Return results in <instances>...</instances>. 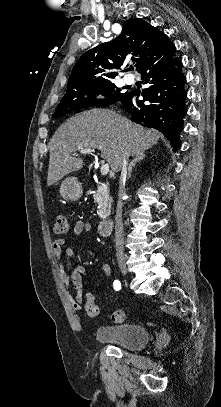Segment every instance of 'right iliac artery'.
<instances>
[{
  "label": "right iliac artery",
  "mask_w": 221,
  "mask_h": 407,
  "mask_svg": "<svg viewBox=\"0 0 221 407\" xmlns=\"http://www.w3.org/2000/svg\"><path fill=\"white\" fill-rule=\"evenodd\" d=\"M113 287H114V289L117 290V291L120 290V289H121V283H120V281L115 280L114 283H113Z\"/></svg>",
  "instance_id": "82829eb1"
}]
</instances>
